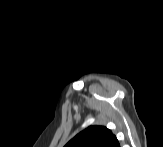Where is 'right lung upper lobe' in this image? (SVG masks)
Listing matches in <instances>:
<instances>
[{
  "mask_svg": "<svg viewBox=\"0 0 163 147\" xmlns=\"http://www.w3.org/2000/svg\"><path fill=\"white\" fill-rule=\"evenodd\" d=\"M118 140L103 126H90L77 134L65 147H117Z\"/></svg>",
  "mask_w": 163,
  "mask_h": 147,
  "instance_id": "obj_1",
  "label": "right lung upper lobe"
}]
</instances>
